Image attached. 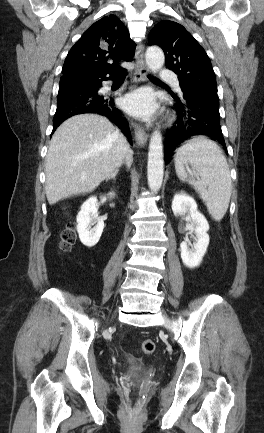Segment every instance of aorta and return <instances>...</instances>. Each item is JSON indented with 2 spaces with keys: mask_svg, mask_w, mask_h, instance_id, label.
Masks as SVG:
<instances>
[{
  "mask_svg": "<svg viewBox=\"0 0 264 433\" xmlns=\"http://www.w3.org/2000/svg\"><path fill=\"white\" fill-rule=\"evenodd\" d=\"M146 64L152 72L159 71L165 61L163 51L156 46L149 47L146 51ZM164 175V160H163V144L160 131L155 130L150 139L147 177L148 185L152 192H157L163 183Z\"/></svg>",
  "mask_w": 264,
  "mask_h": 433,
  "instance_id": "aorta-1",
  "label": "aorta"
}]
</instances>
